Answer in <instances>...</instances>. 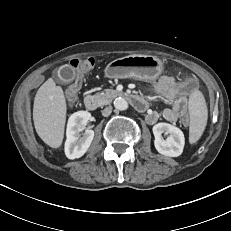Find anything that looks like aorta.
Masks as SVG:
<instances>
[{"instance_id":"aorta-1","label":"aorta","mask_w":231,"mask_h":231,"mask_svg":"<svg viewBox=\"0 0 231 231\" xmlns=\"http://www.w3.org/2000/svg\"><path fill=\"white\" fill-rule=\"evenodd\" d=\"M114 107L120 111L127 110L128 109V102L124 98L118 97L114 100Z\"/></svg>"}]
</instances>
